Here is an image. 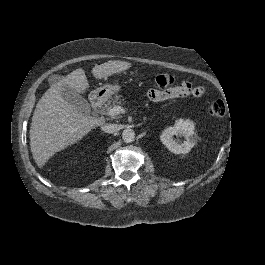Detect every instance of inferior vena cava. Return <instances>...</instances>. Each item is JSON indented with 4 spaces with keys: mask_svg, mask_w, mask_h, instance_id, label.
<instances>
[{
    "mask_svg": "<svg viewBox=\"0 0 265 265\" xmlns=\"http://www.w3.org/2000/svg\"><path fill=\"white\" fill-rule=\"evenodd\" d=\"M101 130L107 133H115L119 130V126L116 124H102Z\"/></svg>",
    "mask_w": 265,
    "mask_h": 265,
    "instance_id": "1",
    "label": "inferior vena cava"
}]
</instances>
